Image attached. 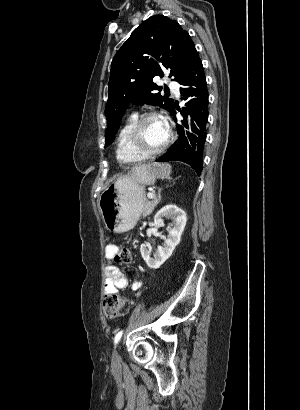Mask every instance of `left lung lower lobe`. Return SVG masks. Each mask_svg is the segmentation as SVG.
<instances>
[{"mask_svg":"<svg viewBox=\"0 0 300 410\" xmlns=\"http://www.w3.org/2000/svg\"><path fill=\"white\" fill-rule=\"evenodd\" d=\"M178 83L182 85L180 89L181 99L187 101L182 115H189L191 118L189 126L188 123H185V127L189 131H186L185 136L183 129H181L180 138L157 161H182L192 166L196 173L200 175L208 120V90L203 65L198 53L194 56L188 71ZM175 106L171 112L173 119H176ZM177 127L179 130L180 126Z\"/></svg>","mask_w":300,"mask_h":410,"instance_id":"1","label":"left lung lower lobe"}]
</instances>
